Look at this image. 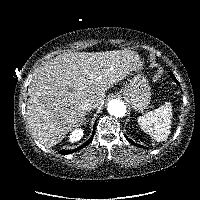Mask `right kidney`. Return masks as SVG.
Segmentation results:
<instances>
[{
    "instance_id": "obj_1",
    "label": "right kidney",
    "mask_w": 200,
    "mask_h": 200,
    "mask_svg": "<svg viewBox=\"0 0 200 200\" xmlns=\"http://www.w3.org/2000/svg\"><path fill=\"white\" fill-rule=\"evenodd\" d=\"M83 135H84L83 129H76L69 136V142L71 143L77 142L83 137Z\"/></svg>"
}]
</instances>
